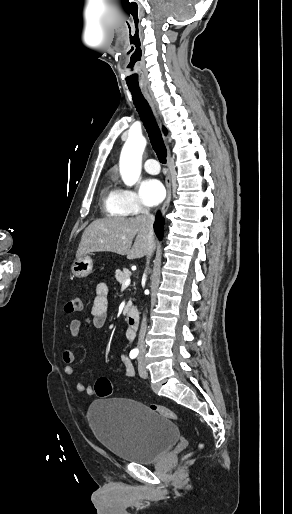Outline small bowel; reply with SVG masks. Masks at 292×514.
<instances>
[{"label": "small bowel", "instance_id": "c3829d8e", "mask_svg": "<svg viewBox=\"0 0 292 514\" xmlns=\"http://www.w3.org/2000/svg\"><path fill=\"white\" fill-rule=\"evenodd\" d=\"M108 293V285L105 282L96 284L95 297L90 308V315L84 319H73L70 322L69 330L72 336L82 337L84 328H101L106 324L109 316ZM62 359L66 364L64 368L65 374L68 376L74 375L75 367L73 364L76 357L73 350L69 348L64 349ZM121 364L127 377L131 378L135 375L134 367L126 356L121 357ZM75 389L78 392H86L88 395H93L94 393V387L91 384L86 385L83 381H77L75 383Z\"/></svg>", "mask_w": 292, "mask_h": 514}]
</instances>
